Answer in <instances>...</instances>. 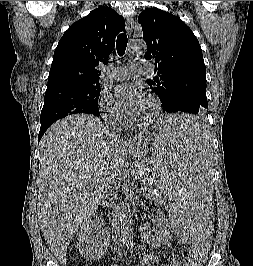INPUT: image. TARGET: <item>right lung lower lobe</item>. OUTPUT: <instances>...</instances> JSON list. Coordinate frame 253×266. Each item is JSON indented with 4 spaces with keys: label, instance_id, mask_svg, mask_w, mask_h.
I'll return each mask as SVG.
<instances>
[{
    "label": "right lung lower lobe",
    "instance_id": "98d812e1",
    "mask_svg": "<svg viewBox=\"0 0 253 266\" xmlns=\"http://www.w3.org/2000/svg\"><path fill=\"white\" fill-rule=\"evenodd\" d=\"M99 115H100V113L98 115H96V116H99ZM47 128H48L47 126L40 128V132H39V135H38V143H39L40 139L42 138V136L44 135V133L47 130Z\"/></svg>",
    "mask_w": 253,
    "mask_h": 266
}]
</instances>
